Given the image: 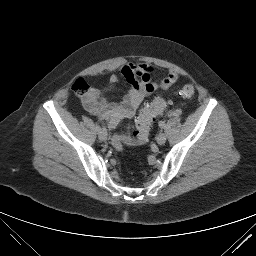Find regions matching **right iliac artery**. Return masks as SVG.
<instances>
[{"label": "right iliac artery", "instance_id": "right-iliac-artery-1", "mask_svg": "<svg viewBox=\"0 0 256 256\" xmlns=\"http://www.w3.org/2000/svg\"><path fill=\"white\" fill-rule=\"evenodd\" d=\"M95 130H96L97 132H100V131L102 130V128H101L98 124H96V125H95Z\"/></svg>", "mask_w": 256, "mask_h": 256}]
</instances>
